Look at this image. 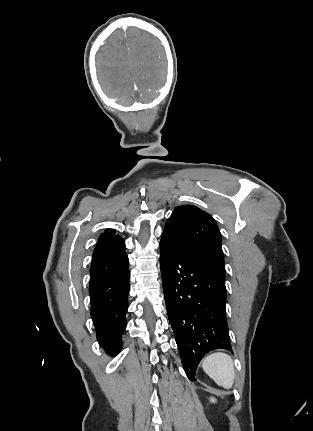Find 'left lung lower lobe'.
I'll return each mask as SVG.
<instances>
[{"mask_svg":"<svg viewBox=\"0 0 313 431\" xmlns=\"http://www.w3.org/2000/svg\"><path fill=\"white\" fill-rule=\"evenodd\" d=\"M160 265L169 322L183 368L192 381L201 359L211 350H231L225 304V276L160 241Z\"/></svg>","mask_w":313,"mask_h":431,"instance_id":"1","label":"left lung lower lobe"}]
</instances>
